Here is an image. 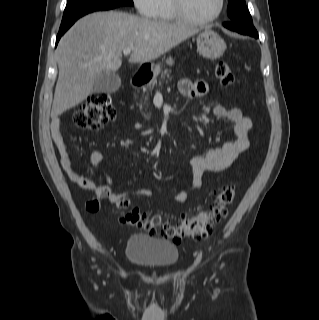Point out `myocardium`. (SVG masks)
Listing matches in <instances>:
<instances>
[{
  "label": "myocardium",
  "mask_w": 319,
  "mask_h": 320,
  "mask_svg": "<svg viewBox=\"0 0 319 320\" xmlns=\"http://www.w3.org/2000/svg\"><path fill=\"white\" fill-rule=\"evenodd\" d=\"M184 2V0H171L173 12L181 22L193 25H205L216 21L223 13L225 7V0H219L218 9L214 15L205 19H197L187 12Z\"/></svg>",
  "instance_id": "1"
}]
</instances>
